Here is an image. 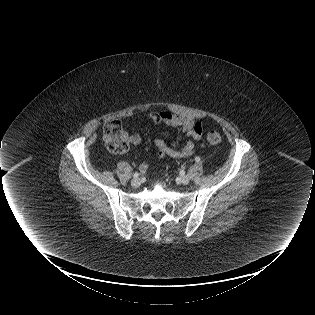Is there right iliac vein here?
<instances>
[{
    "label": "right iliac vein",
    "instance_id": "right-iliac-vein-1",
    "mask_svg": "<svg viewBox=\"0 0 315 315\" xmlns=\"http://www.w3.org/2000/svg\"><path fill=\"white\" fill-rule=\"evenodd\" d=\"M141 184V180L139 178H134L131 181V185L134 187H138Z\"/></svg>",
    "mask_w": 315,
    "mask_h": 315
}]
</instances>
